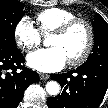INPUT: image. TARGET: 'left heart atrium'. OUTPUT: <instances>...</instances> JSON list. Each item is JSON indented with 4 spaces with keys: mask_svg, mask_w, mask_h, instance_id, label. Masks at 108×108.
<instances>
[{
    "mask_svg": "<svg viewBox=\"0 0 108 108\" xmlns=\"http://www.w3.org/2000/svg\"><path fill=\"white\" fill-rule=\"evenodd\" d=\"M68 59L65 53L57 46L40 49L27 58L28 65L40 72H56L61 70Z\"/></svg>",
    "mask_w": 108,
    "mask_h": 108,
    "instance_id": "obj_1",
    "label": "left heart atrium"
}]
</instances>
